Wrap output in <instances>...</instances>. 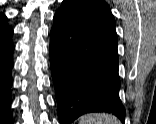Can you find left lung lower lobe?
Segmentation results:
<instances>
[{"label": "left lung lower lobe", "mask_w": 156, "mask_h": 124, "mask_svg": "<svg viewBox=\"0 0 156 124\" xmlns=\"http://www.w3.org/2000/svg\"><path fill=\"white\" fill-rule=\"evenodd\" d=\"M115 25L64 0L51 29L50 66L60 124L79 116L108 112L125 120L119 99Z\"/></svg>", "instance_id": "obj_1"}]
</instances>
